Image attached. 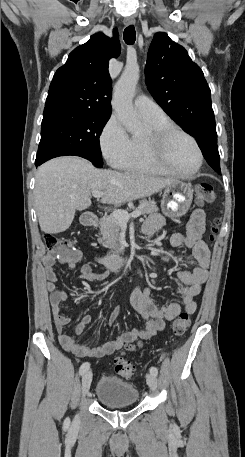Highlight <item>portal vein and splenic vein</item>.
<instances>
[{"label":"portal vein and splenic vein","mask_w":245,"mask_h":457,"mask_svg":"<svg viewBox=\"0 0 245 457\" xmlns=\"http://www.w3.org/2000/svg\"><path fill=\"white\" fill-rule=\"evenodd\" d=\"M92 194L95 196V198H100L104 192H100V190H94ZM112 214L113 216H116L118 220H120L121 224H126L127 220H129L131 216L135 218V216H140L141 212L140 210H133L131 214H128L127 210H120V208H117V210H113Z\"/></svg>","instance_id":"obj_1"}]
</instances>
